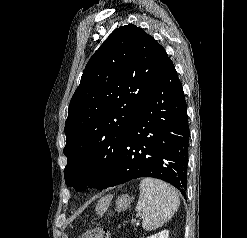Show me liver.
Returning a JSON list of instances; mask_svg holds the SVG:
<instances>
[{
  "label": "liver",
  "instance_id": "liver-1",
  "mask_svg": "<svg viewBox=\"0 0 247 238\" xmlns=\"http://www.w3.org/2000/svg\"><path fill=\"white\" fill-rule=\"evenodd\" d=\"M110 196L103 197L96 205V212L101 213L105 206L108 204Z\"/></svg>",
  "mask_w": 247,
  "mask_h": 238
}]
</instances>
